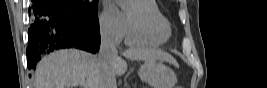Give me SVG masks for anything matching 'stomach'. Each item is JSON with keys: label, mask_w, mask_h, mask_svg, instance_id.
Listing matches in <instances>:
<instances>
[{"label": "stomach", "mask_w": 267, "mask_h": 88, "mask_svg": "<svg viewBox=\"0 0 267 88\" xmlns=\"http://www.w3.org/2000/svg\"><path fill=\"white\" fill-rule=\"evenodd\" d=\"M138 75L152 88H173L176 82L174 72L159 62L145 61L140 66Z\"/></svg>", "instance_id": "obj_1"}]
</instances>
